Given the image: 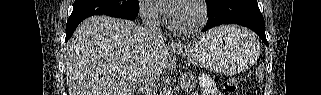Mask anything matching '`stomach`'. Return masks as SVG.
<instances>
[{
	"label": "stomach",
	"instance_id": "0dacf381",
	"mask_svg": "<svg viewBox=\"0 0 321 95\" xmlns=\"http://www.w3.org/2000/svg\"><path fill=\"white\" fill-rule=\"evenodd\" d=\"M209 31L175 52L191 63L217 73L233 75L251 66L260 54L255 35L243 28L225 26Z\"/></svg>",
	"mask_w": 321,
	"mask_h": 95
}]
</instances>
